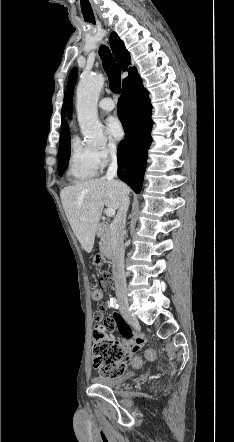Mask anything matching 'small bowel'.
<instances>
[{
	"mask_svg": "<svg viewBox=\"0 0 234 442\" xmlns=\"http://www.w3.org/2000/svg\"><path fill=\"white\" fill-rule=\"evenodd\" d=\"M106 309L107 306L102 304L99 310L94 314V320L97 322L95 324L97 333L102 334L104 331H109V334H113V331H117L119 328L123 336V340L121 341L123 349L140 351L146 344L145 337L142 334L134 335L128 326L127 320L121 319L117 314H108L103 317Z\"/></svg>",
	"mask_w": 234,
	"mask_h": 442,
	"instance_id": "obj_1",
	"label": "small bowel"
}]
</instances>
